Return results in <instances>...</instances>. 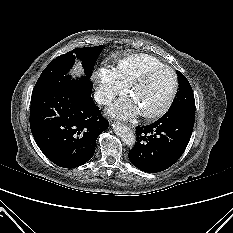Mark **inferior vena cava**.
<instances>
[{"mask_svg": "<svg viewBox=\"0 0 233 233\" xmlns=\"http://www.w3.org/2000/svg\"><path fill=\"white\" fill-rule=\"evenodd\" d=\"M114 98V95L110 92L103 91V90H97L94 94V100L101 105H106L112 101Z\"/></svg>", "mask_w": 233, "mask_h": 233, "instance_id": "602c4592", "label": "inferior vena cava"}]
</instances>
